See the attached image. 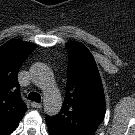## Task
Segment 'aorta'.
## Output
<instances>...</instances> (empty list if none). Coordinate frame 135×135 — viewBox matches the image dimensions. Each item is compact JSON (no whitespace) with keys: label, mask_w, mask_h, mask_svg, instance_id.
Masks as SVG:
<instances>
[{"label":"aorta","mask_w":135,"mask_h":135,"mask_svg":"<svg viewBox=\"0 0 135 135\" xmlns=\"http://www.w3.org/2000/svg\"><path fill=\"white\" fill-rule=\"evenodd\" d=\"M31 75L34 83L44 89V111L50 116L58 114L62 107V99L54 88L49 68L43 63H36L31 68Z\"/></svg>","instance_id":"1"}]
</instances>
